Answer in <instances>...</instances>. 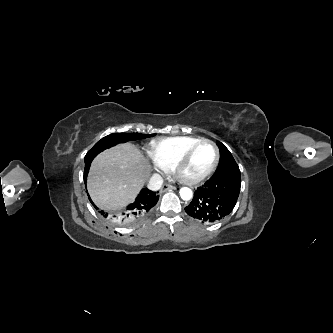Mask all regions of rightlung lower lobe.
<instances>
[{"mask_svg":"<svg viewBox=\"0 0 333 333\" xmlns=\"http://www.w3.org/2000/svg\"><path fill=\"white\" fill-rule=\"evenodd\" d=\"M95 156L96 155H90L88 153L85 156V169H84V182L85 183L87 180V175L89 172L91 162ZM158 199H159V195L156 192H153L147 188H144L141 190V192L138 195V197L136 198L135 202L128 205L126 211L120 217H118L116 220H113V221H116V223H118L120 225H126L130 221H132L134 218H137L139 216L146 214L151 208H153L157 204ZM90 202L92 203V205H94V203L92 202L91 199H90ZM94 207L96 208V210H98V208L96 206H94ZM98 212L104 218H111V215L104 210H98Z\"/></svg>","mask_w":333,"mask_h":333,"instance_id":"obj_1","label":"right lung lower lobe"}]
</instances>
